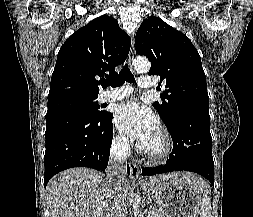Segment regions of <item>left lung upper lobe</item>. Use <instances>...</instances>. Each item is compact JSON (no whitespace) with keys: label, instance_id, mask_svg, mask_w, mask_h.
<instances>
[{"label":"left lung upper lobe","instance_id":"5c2ea615","mask_svg":"<svg viewBox=\"0 0 253 217\" xmlns=\"http://www.w3.org/2000/svg\"><path fill=\"white\" fill-rule=\"evenodd\" d=\"M135 41L137 54L151 61L149 75L160 76L159 85L166 88L153 103L166 126L186 115L210 119L206 76L187 36L151 16L139 27Z\"/></svg>","mask_w":253,"mask_h":217}]
</instances>
